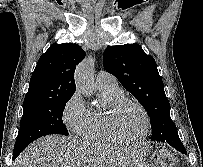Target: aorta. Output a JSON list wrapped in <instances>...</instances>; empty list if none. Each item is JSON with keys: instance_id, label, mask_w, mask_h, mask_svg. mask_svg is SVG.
Listing matches in <instances>:
<instances>
[{"instance_id": "1", "label": "aorta", "mask_w": 203, "mask_h": 167, "mask_svg": "<svg viewBox=\"0 0 203 167\" xmlns=\"http://www.w3.org/2000/svg\"><path fill=\"white\" fill-rule=\"evenodd\" d=\"M75 82L77 89L84 95L92 96L94 94L93 61L91 59L84 60L78 65Z\"/></svg>"}]
</instances>
